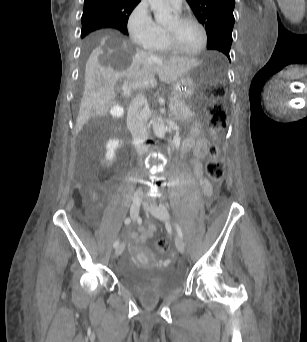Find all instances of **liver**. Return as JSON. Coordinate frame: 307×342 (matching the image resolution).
Returning a JSON list of instances; mask_svg holds the SVG:
<instances>
[{
  "label": "liver",
  "instance_id": "obj_1",
  "mask_svg": "<svg viewBox=\"0 0 307 342\" xmlns=\"http://www.w3.org/2000/svg\"><path fill=\"white\" fill-rule=\"evenodd\" d=\"M109 38L105 36L101 44H95L86 64L85 90L76 120V134L90 118L106 116L114 102V84L121 78L132 80L131 86L135 90H146L155 82V74L160 82L173 84L200 64L195 58L157 56L139 50L137 44Z\"/></svg>",
  "mask_w": 307,
  "mask_h": 342
}]
</instances>
